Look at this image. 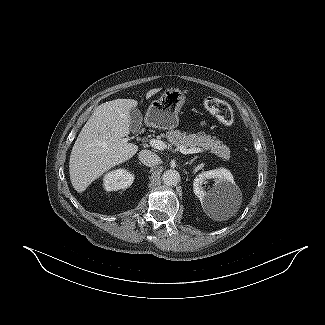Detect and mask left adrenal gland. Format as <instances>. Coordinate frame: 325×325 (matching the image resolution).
Here are the masks:
<instances>
[{
  "label": "left adrenal gland",
  "mask_w": 325,
  "mask_h": 325,
  "mask_svg": "<svg viewBox=\"0 0 325 325\" xmlns=\"http://www.w3.org/2000/svg\"><path fill=\"white\" fill-rule=\"evenodd\" d=\"M198 157L195 156L190 162H188L187 164L191 165Z\"/></svg>",
  "instance_id": "1"
}]
</instances>
